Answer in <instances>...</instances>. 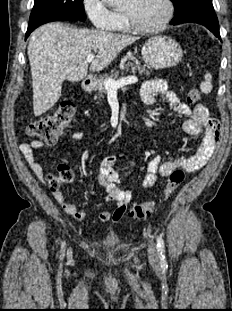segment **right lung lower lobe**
Segmentation results:
<instances>
[{
  "mask_svg": "<svg viewBox=\"0 0 232 311\" xmlns=\"http://www.w3.org/2000/svg\"><path fill=\"white\" fill-rule=\"evenodd\" d=\"M60 20H79V19L71 17V16H67V15H52V16H47V17L37 19L35 21L29 22L28 29L26 32V38L29 36V34L34 29H36L40 25L47 23V22L60 21Z\"/></svg>",
  "mask_w": 232,
  "mask_h": 311,
  "instance_id": "obj_1",
  "label": "right lung lower lobe"
}]
</instances>
